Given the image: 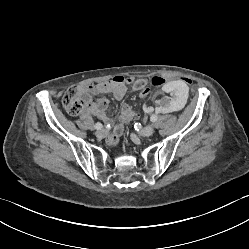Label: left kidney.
I'll list each match as a JSON object with an SVG mask.
<instances>
[{
  "label": "left kidney",
  "mask_w": 249,
  "mask_h": 249,
  "mask_svg": "<svg viewBox=\"0 0 249 249\" xmlns=\"http://www.w3.org/2000/svg\"><path fill=\"white\" fill-rule=\"evenodd\" d=\"M163 91L169 96H161L153 106L156 114H163L170 117L173 112L180 113L188 105L190 96L188 84L179 78L169 80L163 86Z\"/></svg>",
  "instance_id": "1"
}]
</instances>
